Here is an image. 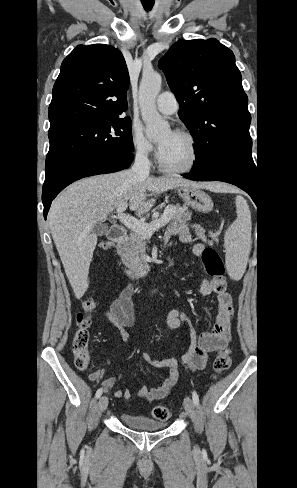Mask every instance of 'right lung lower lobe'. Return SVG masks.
<instances>
[{
    "instance_id": "98d812e1",
    "label": "right lung lower lobe",
    "mask_w": 297,
    "mask_h": 488,
    "mask_svg": "<svg viewBox=\"0 0 297 488\" xmlns=\"http://www.w3.org/2000/svg\"><path fill=\"white\" fill-rule=\"evenodd\" d=\"M134 158L133 153L106 154L77 161L68 165L49 179H45L42 189L44 218L46 219L52 200L66 186L81 178L112 173L126 169Z\"/></svg>"
}]
</instances>
